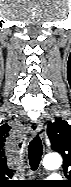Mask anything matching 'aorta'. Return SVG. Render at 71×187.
I'll list each match as a JSON object with an SVG mask.
<instances>
[{
    "label": "aorta",
    "instance_id": "762f6f07",
    "mask_svg": "<svg viewBox=\"0 0 71 187\" xmlns=\"http://www.w3.org/2000/svg\"><path fill=\"white\" fill-rule=\"evenodd\" d=\"M62 158L58 153L47 154L43 159V166L48 170H54L61 166Z\"/></svg>",
    "mask_w": 71,
    "mask_h": 187
}]
</instances>
